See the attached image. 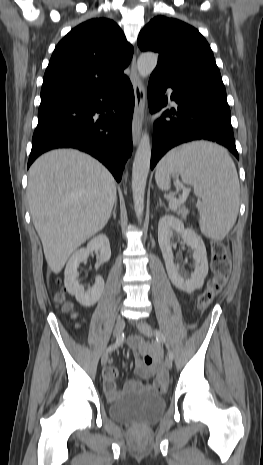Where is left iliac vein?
Here are the masks:
<instances>
[{"label": "left iliac vein", "instance_id": "1", "mask_svg": "<svg viewBox=\"0 0 263 465\" xmlns=\"http://www.w3.org/2000/svg\"><path fill=\"white\" fill-rule=\"evenodd\" d=\"M136 327L138 330L145 335L146 337H152L154 332L152 327L145 321L139 320L135 323ZM165 366L168 369L172 368V359L169 357L165 358Z\"/></svg>", "mask_w": 263, "mask_h": 465}]
</instances>
